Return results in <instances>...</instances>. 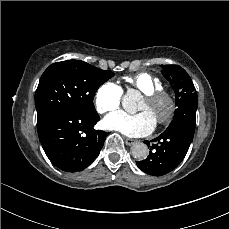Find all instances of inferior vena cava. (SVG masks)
I'll return each mask as SVG.
<instances>
[{
	"label": "inferior vena cava",
	"mask_w": 229,
	"mask_h": 229,
	"mask_svg": "<svg viewBox=\"0 0 229 229\" xmlns=\"http://www.w3.org/2000/svg\"><path fill=\"white\" fill-rule=\"evenodd\" d=\"M140 143H138V144H135V145H133L132 147H134V146H136V145H139Z\"/></svg>",
	"instance_id": "1"
}]
</instances>
